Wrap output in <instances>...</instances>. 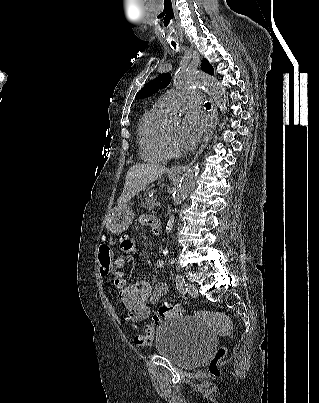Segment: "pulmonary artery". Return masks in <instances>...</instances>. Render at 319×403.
Wrapping results in <instances>:
<instances>
[{
    "label": "pulmonary artery",
    "mask_w": 319,
    "mask_h": 403,
    "mask_svg": "<svg viewBox=\"0 0 319 403\" xmlns=\"http://www.w3.org/2000/svg\"><path fill=\"white\" fill-rule=\"evenodd\" d=\"M155 104L168 112L191 108L201 104V92L191 89L179 90L161 96Z\"/></svg>",
    "instance_id": "pulmonary-artery-1"
}]
</instances>
